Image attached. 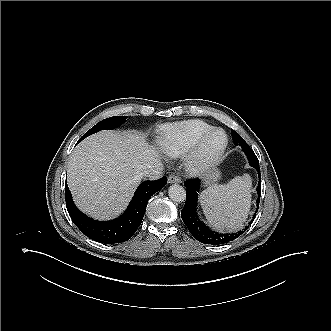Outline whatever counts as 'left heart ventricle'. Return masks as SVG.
Returning a JSON list of instances; mask_svg holds the SVG:
<instances>
[{
    "label": "left heart ventricle",
    "mask_w": 331,
    "mask_h": 331,
    "mask_svg": "<svg viewBox=\"0 0 331 331\" xmlns=\"http://www.w3.org/2000/svg\"><path fill=\"white\" fill-rule=\"evenodd\" d=\"M223 143V135L215 133L210 137L206 144V150L209 153L215 152Z\"/></svg>",
    "instance_id": "b2bd125f"
}]
</instances>
